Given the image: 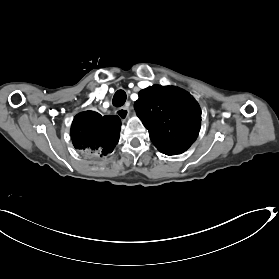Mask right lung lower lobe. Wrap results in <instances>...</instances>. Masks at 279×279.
Wrapping results in <instances>:
<instances>
[{
	"mask_svg": "<svg viewBox=\"0 0 279 279\" xmlns=\"http://www.w3.org/2000/svg\"><path fill=\"white\" fill-rule=\"evenodd\" d=\"M121 121L118 116H101L94 111L75 116L71 136L75 149L91 157L111 153L119 141Z\"/></svg>",
	"mask_w": 279,
	"mask_h": 279,
	"instance_id": "98d812e1",
	"label": "right lung lower lobe"
}]
</instances>
